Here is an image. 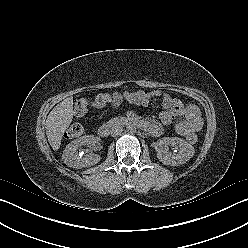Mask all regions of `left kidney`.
I'll return each instance as SVG.
<instances>
[{"mask_svg":"<svg viewBox=\"0 0 248 248\" xmlns=\"http://www.w3.org/2000/svg\"><path fill=\"white\" fill-rule=\"evenodd\" d=\"M169 146L176 147L178 153L169 152ZM157 158L165 165L177 166L193 157L195 149L179 137H164L157 141Z\"/></svg>","mask_w":248,"mask_h":248,"instance_id":"obj_1","label":"left kidney"}]
</instances>
